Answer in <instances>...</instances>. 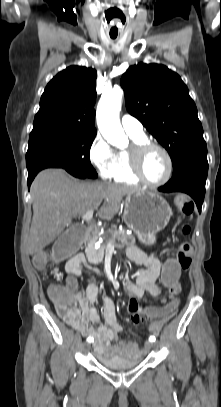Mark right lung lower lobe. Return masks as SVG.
<instances>
[{
  "instance_id": "right-lung-lower-lobe-1",
  "label": "right lung lower lobe",
  "mask_w": 221,
  "mask_h": 407,
  "mask_svg": "<svg viewBox=\"0 0 221 407\" xmlns=\"http://www.w3.org/2000/svg\"><path fill=\"white\" fill-rule=\"evenodd\" d=\"M51 167L62 168L58 163L45 162V163H42L41 165H39V166H37V167H35V168L31 169V170H28V181H27L28 188L30 189V185H31L34 177L37 175V173L39 171H41L42 169L51 168ZM69 173L72 174L75 177L82 178V179L89 178L87 176H83V175H80V174H77V173H72V172H69Z\"/></svg>"
}]
</instances>
